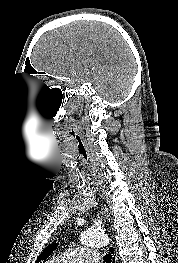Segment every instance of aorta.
Listing matches in <instances>:
<instances>
[{
  "label": "aorta",
  "mask_w": 178,
  "mask_h": 263,
  "mask_svg": "<svg viewBox=\"0 0 178 263\" xmlns=\"http://www.w3.org/2000/svg\"><path fill=\"white\" fill-rule=\"evenodd\" d=\"M80 241L85 246H106L109 243L108 236L95 230H87L81 234Z\"/></svg>",
  "instance_id": "762f6f07"
}]
</instances>
